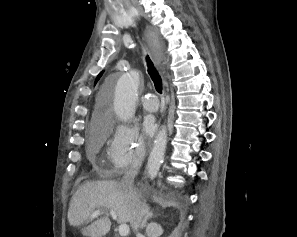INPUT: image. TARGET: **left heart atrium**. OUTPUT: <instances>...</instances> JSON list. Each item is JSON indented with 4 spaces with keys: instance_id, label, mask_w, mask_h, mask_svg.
<instances>
[{
    "instance_id": "1",
    "label": "left heart atrium",
    "mask_w": 297,
    "mask_h": 237,
    "mask_svg": "<svg viewBox=\"0 0 297 237\" xmlns=\"http://www.w3.org/2000/svg\"><path fill=\"white\" fill-rule=\"evenodd\" d=\"M143 128L146 134H152L155 129L154 117L148 115L143 119Z\"/></svg>"
}]
</instances>
